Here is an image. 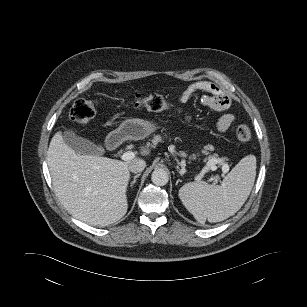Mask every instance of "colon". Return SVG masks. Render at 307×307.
I'll return each instance as SVG.
<instances>
[{"mask_svg":"<svg viewBox=\"0 0 307 307\" xmlns=\"http://www.w3.org/2000/svg\"><path fill=\"white\" fill-rule=\"evenodd\" d=\"M129 104L135 108H144L152 112H161L173 109V105L168 103L158 94L133 96ZM97 102L91 99H79L74 102L70 109V120L74 123L82 124L90 121L96 113ZM238 140L247 142L252 137V132L246 124H239L235 129Z\"/></svg>","mask_w":307,"mask_h":307,"instance_id":"1","label":"colon"}]
</instances>
